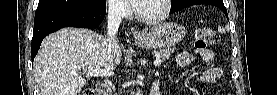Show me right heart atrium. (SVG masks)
Returning a JSON list of instances; mask_svg holds the SVG:
<instances>
[{
  "label": "right heart atrium",
  "instance_id": "1",
  "mask_svg": "<svg viewBox=\"0 0 277 95\" xmlns=\"http://www.w3.org/2000/svg\"><path fill=\"white\" fill-rule=\"evenodd\" d=\"M109 12L112 18L122 19L128 14L127 7L119 0H109L107 1Z\"/></svg>",
  "mask_w": 277,
  "mask_h": 95
}]
</instances>
